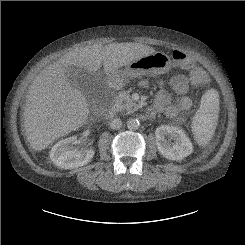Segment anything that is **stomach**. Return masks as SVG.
<instances>
[{
  "label": "stomach",
  "mask_w": 245,
  "mask_h": 245,
  "mask_svg": "<svg viewBox=\"0 0 245 245\" xmlns=\"http://www.w3.org/2000/svg\"><path fill=\"white\" fill-rule=\"evenodd\" d=\"M170 68V57L163 52H155L130 63L124 70L108 73V78L117 85H124L135 77L148 74H164Z\"/></svg>",
  "instance_id": "stomach-1"
}]
</instances>
